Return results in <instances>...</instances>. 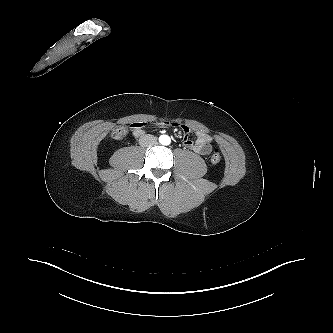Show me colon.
<instances>
[{
    "instance_id": "5ec220e1",
    "label": "colon",
    "mask_w": 333,
    "mask_h": 333,
    "mask_svg": "<svg viewBox=\"0 0 333 333\" xmlns=\"http://www.w3.org/2000/svg\"><path fill=\"white\" fill-rule=\"evenodd\" d=\"M128 134V129L126 126H119L113 131V138L114 139H122ZM211 162L213 164H218L221 161V155L219 153V150L217 148L214 149L212 155H211Z\"/></svg>"
}]
</instances>
